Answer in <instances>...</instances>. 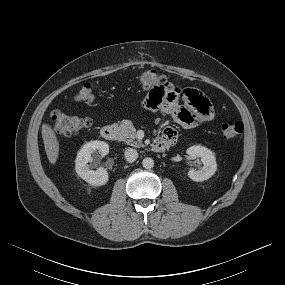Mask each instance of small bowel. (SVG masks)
Instances as JSON below:
<instances>
[{
	"mask_svg": "<svg viewBox=\"0 0 285 285\" xmlns=\"http://www.w3.org/2000/svg\"><path fill=\"white\" fill-rule=\"evenodd\" d=\"M142 104L146 109L168 113L175 122L187 129L214 118V108L210 100L195 88H185L181 93L169 84L156 83L148 88L147 97ZM177 135L174 128L166 127L158 138L173 144Z\"/></svg>",
	"mask_w": 285,
	"mask_h": 285,
	"instance_id": "1",
	"label": "small bowel"
}]
</instances>
